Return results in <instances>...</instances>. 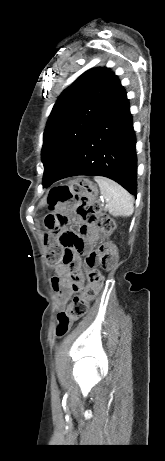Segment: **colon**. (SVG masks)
Returning <instances> with one entry per match:
<instances>
[{
  "mask_svg": "<svg viewBox=\"0 0 165 461\" xmlns=\"http://www.w3.org/2000/svg\"><path fill=\"white\" fill-rule=\"evenodd\" d=\"M95 198V187L89 180L83 178L51 190L48 196V207L51 212L45 218V227L48 231L45 239L48 247L46 262L49 266L60 263L61 251H72L56 247L58 229H63L68 221L66 211L73 212L86 224L96 225L104 236L112 233L114 222L110 216L99 211ZM115 261V249L109 243H103L87 257V286L73 298L66 312L58 314L57 337L65 336L71 325L87 313L89 303L98 296L102 289L103 276L95 267L101 265L104 268H110Z\"/></svg>",
  "mask_w": 165,
  "mask_h": 461,
  "instance_id": "obj_1",
  "label": "colon"
}]
</instances>
